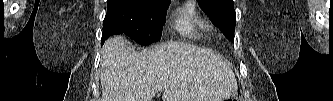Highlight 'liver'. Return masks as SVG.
Here are the masks:
<instances>
[{
	"instance_id": "obj_1",
	"label": "liver",
	"mask_w": 333,
	"mask_h": 101,
	"mask_svg": "<svg viewBox=\"0 0 333 101\" xmlns=\"http://www.w3.org/2000/svg\"><path fill=\"white\" fill-rule=\"evenodd\" d=\"M101 101H223L237 93L227 61L210 50L168 42L135 52L121 37L101 53Z\"/></svg>"
}]
</instances>
